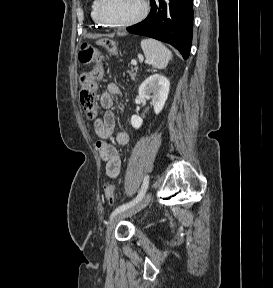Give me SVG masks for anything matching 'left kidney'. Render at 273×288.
I'll list each match as a JSON object with an SVG mask.
<instances>
[{
  "mask_svg": "<svg viewBox=\"0 0 273 288\" xmlns=\"http://www.w3.org/2000/svg\"><path fill=\"white\" fill-rule=\"evenodd\" d=\"M169 88L170 82L166 77L161 74H154L143 81L138 92L142 98L151 99L155 114H159L168 98ZM142 123L143 121L138 115L131 117L133 128L139 129Z\"/></svg>",
  "mask_w": 273,
  "mask_h": 288,
  "instance_id": "5707ae66",
  "label": "left kidney"
}]
</instances>
